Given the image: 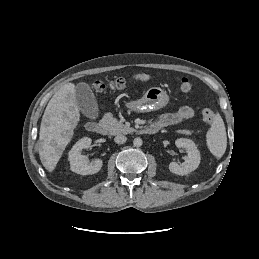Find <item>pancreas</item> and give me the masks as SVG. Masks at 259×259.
Wrapping results in <instances>:
<instances>
[{"instance_id":"obj_1","label":"pancreas","mask_w":259,"mask_h":259,"mask_svg":"<svg viewBox=\"0 0 259 259\" xmlns=\"http://www.w3.org/2000/svg\"><path fill=\"white\" fill-rule=\"evenodd\" d=\"M102 124L106 127V130L110 135L127 134L133 132L131 127H127L120 121L113 118L111 113L105 114Z\"/></svg>"}]
</instances>
